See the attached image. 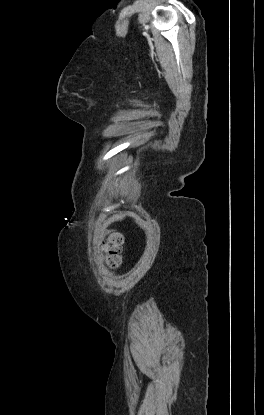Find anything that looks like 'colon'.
I'll return each instance as SVG.
<instances>
[{
    "label": "colon",
    "mask_w": 264,
    "mask_h": 415,
    "mask_svg": "<svg viewBox=\"0 0 264 415\" xmlns=\"http://www.w3.org/2000/svg\"><path fill=\"white\" fill-rule=\"evenodd\" d=\"M122 235L112 233L106 241H102L101 250L106 254L107 265L111 268L117 267L121 262Z\"/></svg>",
    "instance_id": "colon-1"
}]
</instances>
